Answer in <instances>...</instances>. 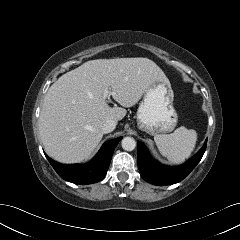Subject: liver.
Here are the masks:
<instances>
[{"instance_id":"liver-1","label":"liver","mask_w":240,"mask_h":240,"mask_svg":"<svg viewBox=\"0 0 240 240\" xmlns=\"http://www.w3.org/2000/svg\"><path fill=\"white\" fill-rule=\"evenodd\" d=\"M156 81L169 83L148 58L97 59L58 78L49 88L39 117V133L46 153L62 163L87 159L103 137L108 119L122 120ZM122 107L111 108L105 89Z\"/></svg>"}]
</instances>
